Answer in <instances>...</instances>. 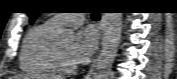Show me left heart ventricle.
<instances>
[{"label":"left heart ventricle","instance_id":"1","mask_svg":"<svg viewBox=\"0 0 177 79\" xmlns=\"http://www.w3.org/2000/svg\"><path fill=\"white\" fill-rule=\"evenodd\" d=\"M79 26H80L79 24H72V25L68 26V29L75 30ZM71 47H72L71 43H65V44H62L57 47L59 49V51L61 52L62 56L64 57L65 61L68 63H73L70 58Z\"/></svg>","mask_w":177,"mask_h":79}]
</instances>
